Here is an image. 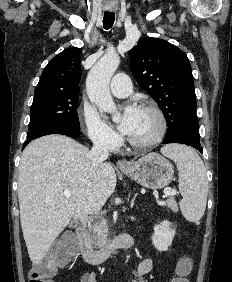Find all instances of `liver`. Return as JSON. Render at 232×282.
Wrapping results in <instances>:
<instances>
[{"label": "liver", "instance_id": "obj_1", "mask_svg": "<svg viewBox=\"0 0 232 282\" xmlns=\"http://www.w3.org/2000/svg\"><path fill=\"white\" fill-rule=\"evenodd\" d=\"M89 150L63 135L32 141L19 166L20 221L30 260L38 265L72 218L99 211L115 190L113 166L94 169ZM71 197L64 196V190Z\"/></svg>", "mask_w": 232, "mask_h": 282}]
</instances>
